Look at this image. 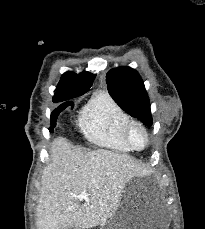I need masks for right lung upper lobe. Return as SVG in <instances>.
Returning a JSON list of instances; mask_svg holds the SVG:
<instances>
[{
    "instance_id": "obj_1",
    "label": "right lung upper lobe",
    "mask_w": 205,
    "mask_h": 229,
    "mask_svg": "<svg viewBox=\"0 0 205 229\" xmlns=\"http://www.w3.org/2000/svg\"><path fill=\"white\" fill-rule=\"evenodd\" d=\"M95 76L88 72H82L79 75L66 72L56 87L53 102H62L85 94L92 86Z\"/></svg>"
}]
</instances>
